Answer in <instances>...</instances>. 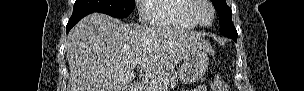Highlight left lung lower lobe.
I'll use <instances>...</instances> for the list:
<instances>
[{
  "label": "left lung lower lobe",
  "mask_w": 304,
  "mask_h": 91,
  "mask_svg": "<svg viewBox=\"0 0 304 91\" xmlns=\"http://www.w3.org/2000/svg\"><path fill=\"white\" fill-rule=\"evenodd\" d=\"M235 42L237 41V38H232Z\"/></svg>",
  "instance_id": "left-lung-lower-lobe-1"
}]
</instances>
